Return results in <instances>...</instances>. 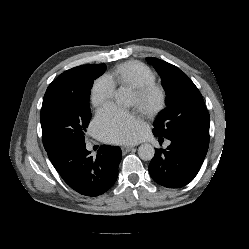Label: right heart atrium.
<instances>
[{
	"label": "right heart atrium",
	"instance_id": "right-heart-atrium-1",
	"mask_svg": "<svg viewBox=\"0 0 249 249\" xmlns=\"http://www.w3.org/2000/svg\"><path fill=\"white\" fill-rule=\"evenodd\" d=\"M116 84L108 75L99 77L93 84L91 90V102L99 107L108 103L115 92Z\"/></svg>",
	"mask_w": 249,
	"mask_h": 249
}]
</instances>
